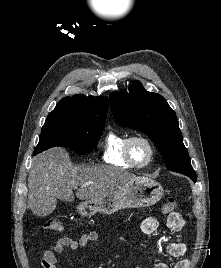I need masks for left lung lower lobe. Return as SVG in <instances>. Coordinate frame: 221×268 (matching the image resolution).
<instances>
[{
    "mask_svg": "<svg viewBox=\"0 0 221 268\" xmlns=\"http://www.w3.org/2000/svg\"><path fill=\"white\" fill-rule=\"evenodd\" d=\"M184 175H187L188 177H190L194 182H196V173L195 171H192L190 173H185Z\"/></svg>",
    "mask_w": 221,
    "mask_h": 268,
    "instance_id": "left-lung-lower-lobe-1",
    "label": "left lung lower lobe"
}]
</instances>
